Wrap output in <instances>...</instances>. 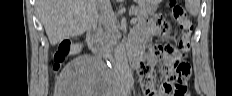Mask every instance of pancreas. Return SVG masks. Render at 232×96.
Masks as SVG:
<instances>
[{"mask_svg": "<svg viewBox=\"0 0 232 96\" xmlns=\"http://www.w3.org/2000/svg\"><path fill=\"white\" fill-rule=\"evenodd\" d=\"M156 10V5H139L136 7H131L130 13L134 15L137 20H140L153 15ZM120 37L121 35L116 18L106 17L103 21V31L99 39L100 45L104 48H109L116 43Z\"/></svg>", "mask_w": 232, "mask_h": 96, "instance_id": "cf45deb5", "label": "pancreas"}]
</instances>
